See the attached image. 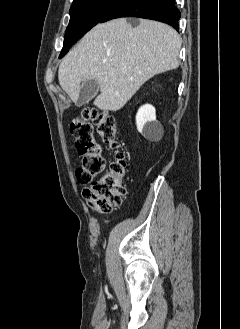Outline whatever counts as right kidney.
<instances>
[{
  "label": "right kidney",
  "instance_id": "1",
  "mask_svg": "<svg viewBox=\"0 0 240 329\" xmlns=\"http://www.w3.org/2000/svg\"><path fill=\"white\" fill-rule=\"evenodd\" d=\"M136 125L138 131L146 138L161 136L163 133L162 125L156 120L155 108L150 104L139 108L136 115Z\"/></svg>",
  "mask_w": 240,
  "mask_h": 329
}]
</instances>
